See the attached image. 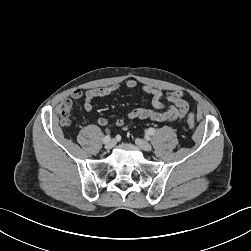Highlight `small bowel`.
Listing matches in <instances>:
<instances>
[{
	"mask_svg": "<svg viewBox=\"0 0 251 251\" xmlns=\"http://www.w3.org/2000/svg\"><path fill=\"white\" fill-rule=\"evenodd\" d=\"M125 86L128 89H135L137 87V82L130 79L126 81ZM119 90V84L89 89L85 93L81 90H74L71 93L70 98L64 101V109L71 110L72 100H77L84 96V109L87 112H90L94 108L95 100L107 97ZM142 90L151 96V107H139L129 111L127 113L129 119L150 120L161 123L173 122L181 120L189 109V103L184 99L182 91H171L165 94L162 90L150 85H144ZM164 101L169 103L167 107L165 106ZM97 122L101 126H106L109 123V120L103 116H99ZM123 124V119L116 120L117 126H122Z\"/></svg>",
	"mask_w": 251,
	"mask_h": 251,
	"instance_id": "1",
	"label": "small bowel"
}]
</instances>
